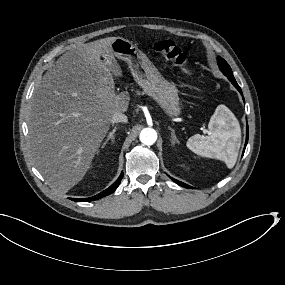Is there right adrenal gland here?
Listing matches in <instances>:
<instances>
[{
	"instance_id": "2a0ac1e0",
	"label": "right adrenal gland",
	"mask_w": 285,
	"mask_h": 285,
	"mask_svg": "<svg viewBox=\"0 0 285 285\" xmlns=\"http://www.w3.org/2000/svg\"><path fill=\"white\" fill-rule=\"evenodd\" d=\"M117 131V128L115 127L113 130H111L109 132V134L106 136V141L103 144V146H101V149H104L106 147V145L108 144V142H110L111 147L114 145L115 143V139L113 137V134Z\"/></svg>"
}]
</instances>
